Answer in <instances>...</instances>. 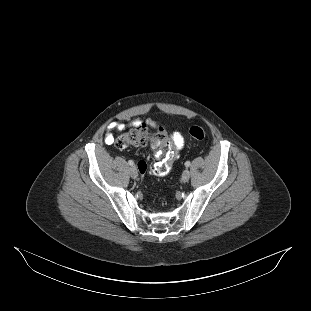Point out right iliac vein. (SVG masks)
I'll return each instance as SVG.
<instances>
[{"mask_svg":"<svg viewBox=\"0 0 311 311\" xmlns=\"http://www.w3.org/2000/svg\"><path fill=\"white\" fill-rule=\"evenodd\" d=\"M130 176H131L133 179L137 178L138 172H137V169H136L135 166H132V167L130 168Z\"/></svg>","mask_w":311,"mask_h":311,"instance_id":"obj_1","label":"right iliac vein"}]
</instances>
